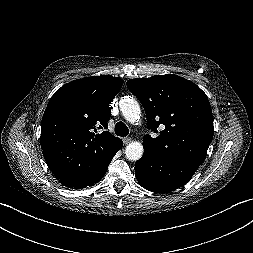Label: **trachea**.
Wrapping results in <instances>:
<instances>
[{
    "label": "trachea",
    "mask_w": 253,
    "mask_h": 253,
    "mask_svg": "<svg viewBox=\"0 0 253 253\" xmlns=\"http://www.w3.org/2000/svg\"><path fill=\"white\" fill-rule=\"evenodd\" d=\"M115 134L121 137H125L129 134V129L123 122H118L115 125Z\"/></svg>",
    "instance_id": "1"
}]
</instances>
